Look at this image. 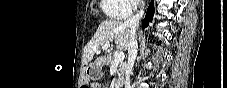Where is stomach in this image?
Returning <instances> with one entry per match:
<instances>
[{
    "label": "stomach",
    "instance_id": "1",
    "mask_svg": "<svg viewBox=\"0 0 227 88\" xmlns=\"http://www.w3.org/2000/svg\"><path fill=\"white\" fill-rule=\"evenodd\" d=\"M104 64L103 58H98L94 63H90L85 67V74L89 75V78H94L100 75L101 67Z\"/></svg>",
    "mask_w": 227,
    "mask_h": 88
}]
</instances>
